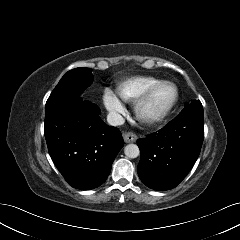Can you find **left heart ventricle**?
I'll use <instances>...</instances> for the list:
<instances>
[{"label": "left heart ventricle", "instance_id": "left-heart-ventricle-1", "mask_svg": "<svg viewBox=\"0 0 240 240\" xmlns=\"http://www.w3.org/2000/svg\"><path fill=\"white\" fill-rule=\"evenodd\" d=\"M174 97L175 89L171 86H164L153 94L144 110L150 115L159 114L171 104Z\"/></svg>", "mask_w": 240, "mask_h": 240}]
</instances>
